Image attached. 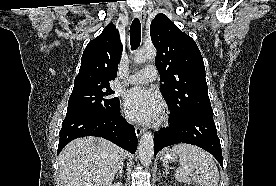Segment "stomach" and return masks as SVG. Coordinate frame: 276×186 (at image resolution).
Instances as JSON below:
<instances>
[{
	"mask_svg": "<svg viewBox=\"0 0 276 186\" xmlns=\"http://www.w3.org/2000/svg\"><path fill=\"white\" fill-rule=\"evenodd\" d=\"M160 158L164 164H167L174 162L177 159V154L172 149L166 148L161 152Z\"/></svg>",
	"mask_w": 276,
	"mask_h": 186,
	"instance_id": "obj_1",
	"label": "stomach"
}]
</instances>
